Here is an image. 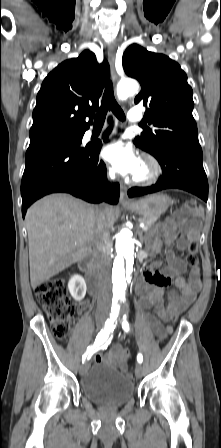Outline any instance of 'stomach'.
Masks as SVG:
<instances>
[{
  "mask_svg": "<svg viewBox=\"0 0 221 448\" xmlns=\"http://www.w3.org/2000/svg\"><path fill=\"white\" fill-rule=\"evenodd\" d=\"M171 202V199L165 194H154L136 200L125 207L127 210L143 215L144 217L160 216L168 209Z\"/></svg>",
  "mask_w": 221,
  "mask_h": 448,
  "instance_id": "stomach-1",
  "label": "stomach"
}]
</instances>
